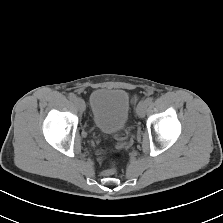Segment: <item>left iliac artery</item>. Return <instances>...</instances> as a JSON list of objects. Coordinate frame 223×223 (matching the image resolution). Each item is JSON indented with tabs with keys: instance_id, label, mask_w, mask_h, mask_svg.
Listing matches in <instances>:
<instances>
[{
	"instance_id": "left-iliac-artery-1",
	"label": "left iliac artery",
	"mask_w": 223,
	"mask_h": 223,
	"mask_svg": "<svg viewBox=\"0 0 223 223\" xmlns=\"http://www.w3.org/2000/svg\"><path fill=\"white\" fill-rule=\"evenodd\" d=\"M152 101H153V98H152V97H148V98H146L145 103H146L147 105H149V104L152 103Z\"/></svg>"
}]
</instances>
